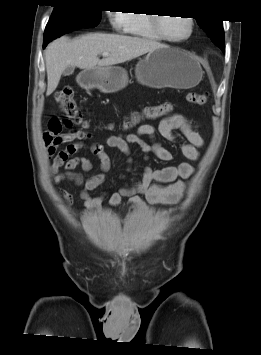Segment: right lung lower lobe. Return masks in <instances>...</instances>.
<instances>
[{
	"label": "right lung lower lobe",
	"mask_w": 261,
	"mask_h": 355,
	"mask_svg": "<svg viewBox=\"0 0 261 355\" xmlns=\"http://www.w3.org/2000/svg\"><path fill=\"white\" fill-rule=\"evenodd\" d=\"M77 29H80V27H66L50 32L49 34H44L43 48H45L50 41L56 39L57 37Z\"/></svg>",
	"instance_id": "98d812e1"
}]
</instances>
